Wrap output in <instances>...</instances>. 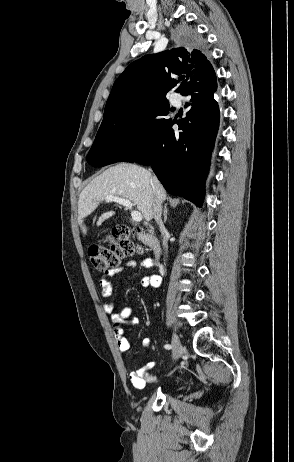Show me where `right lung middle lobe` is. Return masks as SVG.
Segmentation results:
<instances>
[{"mask_svg": "<svg viewBox=\"0 0 294 462\" xmlns=\"http://www.w3.org/2000/svg\"><path fill=\"white\" fill-rule=\"evenodd\" d=\"M178 37L190 46H205L204 40L191 29L182 28ZM169 110L166 98L151 99L104 117L87 161L94 162L95 167L123 161L161 127Z\"/></svg>", "mask_w": 294, "mask_h": 462, "instance_id": "right-lung-middle-lobe-1", "label": "right lung middle lobe"}]
</instances>
